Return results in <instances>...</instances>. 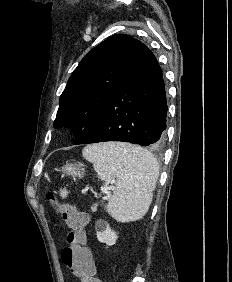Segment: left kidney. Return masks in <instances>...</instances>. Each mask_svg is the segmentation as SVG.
Listing matches in <instances>:
<instances>
[{
	"instance_id": "5707ae66",
	"label": "left kidney",
	"mask_w": 232,
	"mask_h": 282,
	"mask_svg": "<svg viewBox=\"0 0 232 282\" xmlns=\"http://www.w3.org/2000/svg\"><path fill=\"white\" fill-rule=\"evenodd\" d=\"M96 235L97 239L101 243H106L108 246H112L116 243L118 238L116 232L111 230L109 225L106 222L98 221L96 223Z\"/></svg>"
}]
</instances>
